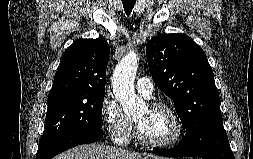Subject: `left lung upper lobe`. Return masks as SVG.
Instances as JSON below:
<instances>
[{
  "label": "left lung upper lobe",
  "mask_w": 253,
  "mask_h": 159,
  "mask_svg": "<svg viewBox=\"0 0 253 159\" xmlns=\"http://www.w3.org/2000/svg\"><path fill=\"white\" fill-rule=\"evenodd\" d=\"M156 85L174 102L186 136L222 122L219 94L206 54L184 34H159L146 46Z\"/></svg>",
  "instance_id": "1"
}]
</instances>
